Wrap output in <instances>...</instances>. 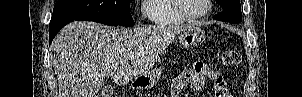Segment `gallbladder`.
Masks as SVG:
<instances>
[{
  "mask_svg": "<svg viewBox=\"0 0 302 97\" xmlns=\"http://www.w3.org/2000/svg\"><path fill=\"white\" fill-rule=\"evenodd\" d=\"M114 92V87L111 85H106L102 90L103 97H110Z\"/></svg>",
  "mask_w": 302,
  "mask_h": 97,
  "instance_id": "gallbladder-1",
  "label": "gallbladder"
}]
</instances>
